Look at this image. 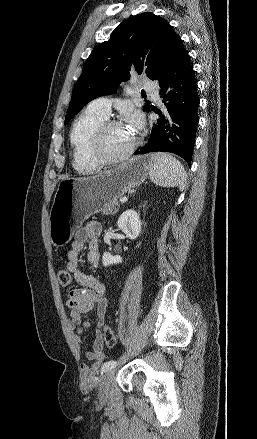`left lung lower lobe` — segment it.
<instances>
[{
	"label": "left lung lower lobe",
	"instance_id": "obj_1",
	"mask_svg": "<svg viewBox=\"0 0 257 439\" xmlns=\"http://www.w3.org/2000/svg\"><path fill=\"white\" fill-rule=\"evenodd\" d=\"M157 81L166 108L161 112L150 106L160 118L153 124L147 144L138 148L134 155L171 152L185 159L190 166L199 121V97L194 70L180 38Z\"/></svg>",
	"mask_w": 257,
	"mask_h": 439
}]
</instances>
